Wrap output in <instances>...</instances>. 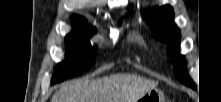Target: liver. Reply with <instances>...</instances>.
Listing matches in <instances>:
<instances>
[{
	"label": "liver",
	"mask_w": 221,
	"mask_h": 102,
	"mask_svg": "<svg viewBox=\"0 0 221 102\" xmlns=\"http://www.w3.org/2000/svg\"><path fill=\"white\" fill-rule=\"evenodd\" d=\"M157 84L134 74H115L67 83L54 93L51 102H136Z\"/></svg>",
	"instance_id": "6515ba94"
}]
</instances>
